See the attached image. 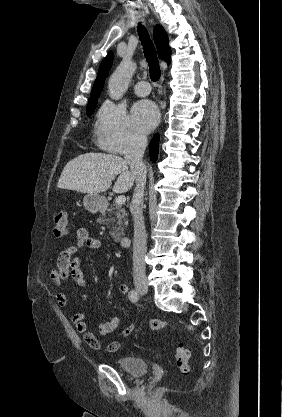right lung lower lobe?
Listing matches in <instances>:
<instances>
[{
  "label": "right lung lower lobe",
  "mask_w": 282,
  "mask_h": 417,
  "mask_svg": "<svg viewBox=\"0 0 282 417\" xmlns=\"http://www.w3.org/2000/svg\"><path fill=\"white\" fill-rule=\"evenodd\" d=\"M158 145H159V134H155L153 139L151 140L149 144V152H150V158L152 162H155L158 157Z\"/></svg>",
  "instance_id": "98d812e1"
}]
</instances>
